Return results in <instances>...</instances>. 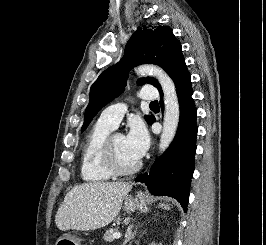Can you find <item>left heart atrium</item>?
<instances>
[{
  "mask_svg": "<svg viewBox=\"0 0 266 245\" xmlns=\"http://www.w3.org/2000/svg\"><path fill=\"white\" fill-rule=\"evenodd\" d=\"M124 144L133 159L138 161L143 157L149 144V136L141 122L134 121L130 124L129 131L124 136Z\"/></svg>",
  "mask_w": 266,
  "mask_h": 245,
  "instance_id": "left-heart-atrium-1",
  "label": "left heart atrium"
}]
</instances>
